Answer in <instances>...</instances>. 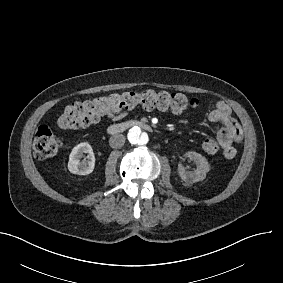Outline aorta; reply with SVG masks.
<instances>
[{"label": "aorta", "instance_id": "1", "mask_svg": "<svg viewBox=\"0 0 283 283\" xmlns=\"http://www.w3.org/2000/svg\"><path fill=\"white\" fill-rule=\"evenodd\" d=\"M129 142L133 145L144 146L149 141L148 133L142 131L140 127H133L129 130L127 134Z\"/></svg>", "mask_w": 283, "mask_h": 283}]
</instances>
